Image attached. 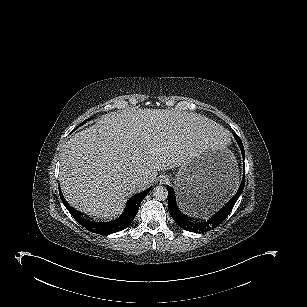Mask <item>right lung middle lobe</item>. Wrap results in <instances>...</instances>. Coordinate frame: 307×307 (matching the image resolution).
<instances>
[{"label": "right lung middle lobe", "instance_id": "right-lung-middle-lobe-1", "mask_svg": "<svg viewBox=\"0 0 307 307\" xmlns=\"http://www.w3.org/2000/svg\"><path fill=\"white\" fill-rule=\"evenodd\" d=\"M88 120H89V119H88ZM86 122H87V120L83 121L79 126H81L82 124H84V123H86ZM79 126H78V127H79Z\"/></svg>", "mask_w": 307, "mask_h": 307}]
</instances>
